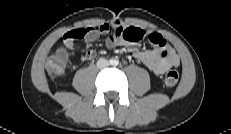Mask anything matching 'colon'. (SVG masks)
<instances>
[{
    "mask_svg": "<svg viewBox=\"0 0 231 134\" xmlns=\"http://www.w3.org/2000/svg\"><path fill=\"white\" fill-rule=\"evenodd\" d=\"M67 53L63 49L57 50L47 60L46 69L50 74L60 75L66 69ZM179 75L175 70L168 71L164 76V82L166 86L173 87L177 84Z\"/></svg>",
    "mask_w": 231,
    "mask_h": 134,
    "instance_id": "5ec220e1",
    "label": "colon"
}]
</instances>
